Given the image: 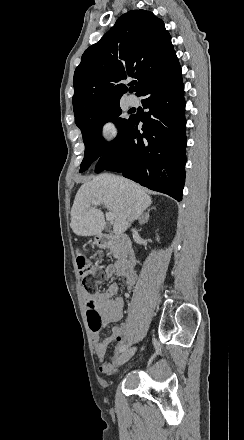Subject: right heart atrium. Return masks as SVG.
Listing matches in <instances>:
<instances>
[{
  "label": "right heart atrium",
  "instance_id": "d8ad5b80",
  "mask_svg": "<svg viewBox=\"0 0 244 440\" xmlns=\"http://www.w3.org/2000/svg\"><path fill=\"white\" fill-rule=\"evenodd\" d=\"M100 131L106 141L114 140L118 135V128L112 118H105L100 124Z\"/></svg>",
  "mask_w": 244,
  "mask_h": 440
}]
</instances>
